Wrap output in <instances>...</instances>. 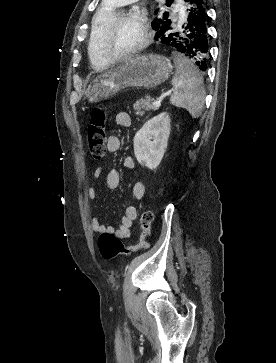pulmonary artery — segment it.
<instances>
[{"instance_id":"e3ab8cb5","label":"pulmonary artery","mask_w":276,"mask_h":363,"mask_svg":"<svg viewBox=\"0 0 276 363\" xmlns=\"http://www.w3.org/2000/svg\"><path fill=\"white\" fill-rule=\"evenodd\" d=\"M111 1L115 2L118 5H124V4H126L127 2H129L131 0H111ZM176 11H179V10H176Z\"/></svg>"}]
</instances>
